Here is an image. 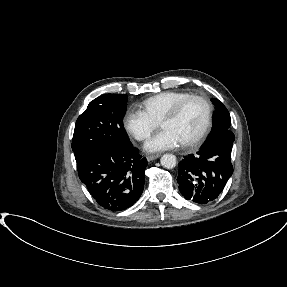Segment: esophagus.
Listing matches in <instances>:
<instances>
[{
  "mask_svg": "<svg viewBox=\"0 0 287 287\" xmlns=\"http://www.w3.org/2000/svg\"><path fill=\"white\" fill-rule=\"evenodd\" d=\"M158 157H160V154L149 155V156H147V160L152 161V160L157 159Z\"/></svg>",
  "mask_w": 287,
  "mask_h": 287,
  "instance_id": "esophagus-1",
  "label": "esophagus"
}]
</instances>
